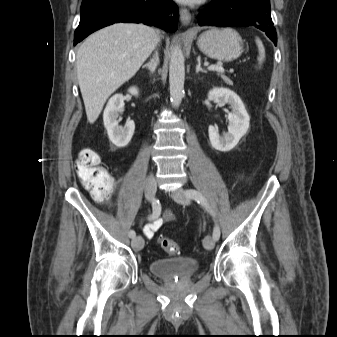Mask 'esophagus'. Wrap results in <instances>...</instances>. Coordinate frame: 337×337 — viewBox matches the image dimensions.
Wrapping results in <instances>:
<instances>
[{"label": "esophagus", "mask_w": 337, "mask_h": 337, "mask_svg": "<svg viewBox=\"0 0 337 337\" xmlns=\"http://www.w3.org/2000/svg\"><path fill=\"white\" fill-rule=\"evenodd\" d=\"M180 19L184 26H188L191 22V13L187 9L181 8Z\"/></svg>", "instance_id": "34e87169"}]
</instances>
